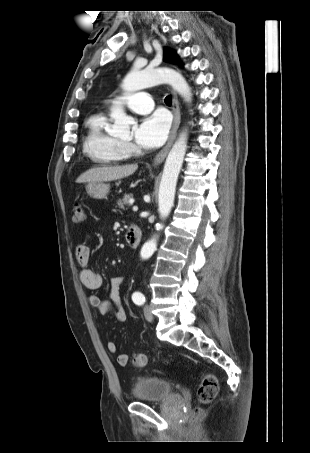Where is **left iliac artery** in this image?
<instances>
[{
    "label": "left iliac artery",
    "mask_w": 310,
    "mask_h": 453,
    "mask_svg": "<svg viewBox=\"0 0 310 453\" xmlns=\"http://www.w3.org/2000/svg\"><path fill=\"white\" fill-rule=\"evenodd\" d=\"M132 300L137 305H143L146 301L145 296L140 292L133 293Z\"/></svg>",
    "instance_id": "obj_1"
}]
</instances>
